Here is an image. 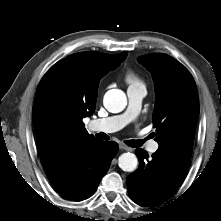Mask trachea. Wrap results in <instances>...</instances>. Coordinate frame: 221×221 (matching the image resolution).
Wrapping results in <instances>:
<instances>
[{"instance_id":"3493384b","label":"trachea","mask_w":221,"mask_h":221,"mask_svg":"<svg viewBox=\"0 0 221 221\" xmlns=\"http://www.w3.org/2000/svg\"><path fill=\"white\" fill-rule=\"evenodd\" d=\"M125 143L130 147H140L142 146L143 142L141 140H127Z\"/></svg>"}]
</instances>
